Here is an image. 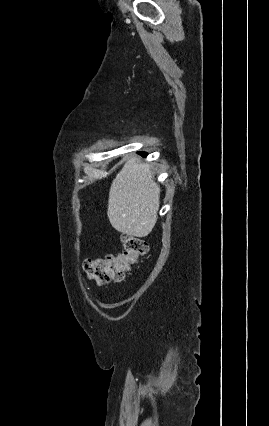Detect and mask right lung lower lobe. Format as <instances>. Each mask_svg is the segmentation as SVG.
<instances>
[{
  "label": "right lung lower lobe",
  "instance_id": "obj_1",
  "mask_svg": "<svg viewBox=\"0 0 269 426\" xmlns=\"http://www.w3.org/2000/svg\"><path fill=\"white\" fill-rule=\"evenodd\" d=\"M139 154H141L142 156H146L147 155V153H145V152H141V153H139Z\"/></svg>",
  "mask_w": 269,
  "mask_h": 426
}]
</instances>
